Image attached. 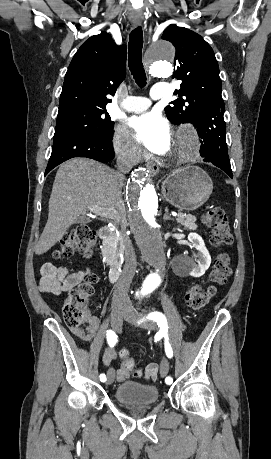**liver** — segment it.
<instances>
[{
  "label": "liver",
  "instance_id": "liver-1",
  "mask_svg": "<svg viewBox=\"0 0 271 459\" xmlns=\"http://www.w3.org/2000/svg\"><path fill=\"white\" fill-rule=\"evenodd\" d=\"M122 180L105 164L89 158H72L61 164L54 180L49 214L45 228L35 247V253H45L59 239L66 229L92 208H119ZM120 186V188H119ZM124 210V206H121Z\"/></svg>",
  "mask_w": 271,
  "mask_h": 459
}]
</instances>
